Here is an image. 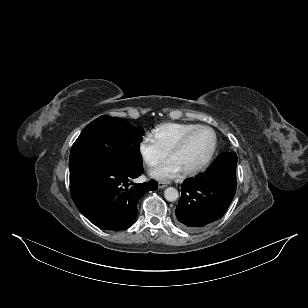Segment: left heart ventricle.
<instances>
[{
  "instance_id": "b2bd125f",
  "label": "left heart ventricle",
  "mask_w": 308,
  "mask_h": 308,
  "mask_svg": "<svg viewBox=\"0 0 308 308\" xmlns=\"http://www.w3.org/2000/svg\"><path fill=\"white\" fill-rule=\"evenodd\" d=\"M214 138L210 131L201 130L194 134L187 144L179 151L172 154V158L178 161L183 170H187L201 164L210 153Z\"/></svg>"
}]
</instances>
